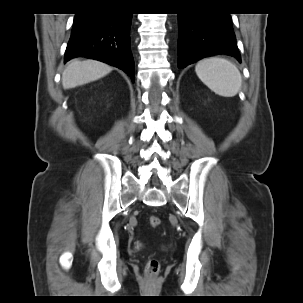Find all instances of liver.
Segmentation results:
<instances>
[{
	"mask_svg": "<svg viewBox=\"0 0 303 303\" xmlns=\"http://www.w3.org/2000/svg\"><path fill=\"white\" fill-rule=\"evenodd\" d=\"M112 68L95 60H71L62 74L64 89L75 88L80 85L98 80L109 74Z\"/></svg>",
	"mask_w": 303,
	"mask_h": 303,
	"instance_id": "6515ba94",
	"label": "liver"
}]
</instances>
